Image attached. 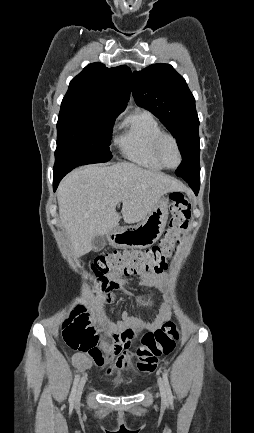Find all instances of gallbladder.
<instances>
[{"instance_id":"gallbladder-1","label":"gallbladder","mask_w":254,"mask_h":433,"mask_svg":"<svg viewBox=\"0 0 254 433\" xmlns=\"http://www.w3.org/2000/svg\"><path fill=\"white\" fill-rule=\"evenodd\" d=\"M92 245L94 251L102 250L106 245L104 236L97 235L92 239Z\"/></svg>"}]
</instances>
